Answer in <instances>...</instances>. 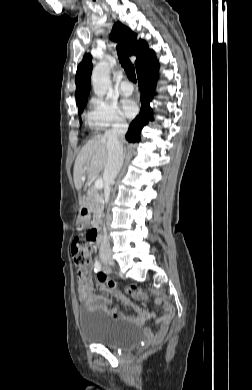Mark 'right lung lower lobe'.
<instances>
[{
    "instance_id": "1",
    "label": "right lung lower lobe",
    "mask_w": 252,
    "mask_h": 390,
    "mask_svg": "<svg viewBox=\"0 0 252 390\" xmlns=\"http://www.w3.org/2000/svg\"><path fill=\"white\" fill-rule=\"evenodd\" d=\"M159 64L146 68L138 74L139 88L141 90V109L139 115L131 122L126 133V139L129 142L140 141L141 130L153 121V109L150 102L155 92Z\"/></svg>"
}]
</instances>
